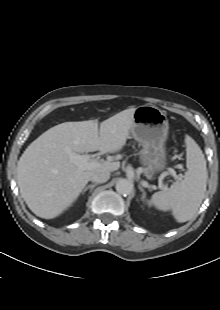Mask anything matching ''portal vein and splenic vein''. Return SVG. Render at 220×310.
Returning a JSON list of instances; mask_svg holds the SVG:
<instances>
[{"mask_svg":"<svg viewBox=\"0 0 220 310\" xmlns=\"http://www.w3.org/2000/svg\"><path fill=\"white\" fill-rule=\"evenodd\" d=\"M69 160L71 163L75 164L78 168L82 170H90L93 168H96L100 165L99 162L95 160H91V155H79L75 152L69 151ZM170 174L175 178L179 179V177L176 175V172L174 169L170 170ZM163 189H167L166 186H164Z\"/></svg>","mask_w":220,"mask_h":310,"instance_id":"portal-vein-and-splenic-vein-1","label":"portal vein and splenic vein"}]
</instances>
